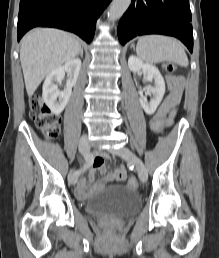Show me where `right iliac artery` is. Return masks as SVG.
I'll use <instances>...</instances> for the list:
<instances>
[{"label":"right iliac artery","instance_id":"1","mask_svg":"<svg viewBox=\"0 0 219 258\" xmlns=\"http://www.w3.org/2000/svg\"><path fill=\"white\" fill-rule=\"evenodd\" d=\"M84 158H85L86 164L81 170L75 172L77 176L80 175L81 172L85 171L91 165L92 157L88 153L84 154Z\"/></svg>","mask_w":219,"mask_h":258}]
</instances>
